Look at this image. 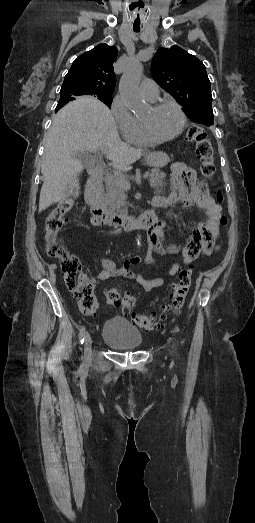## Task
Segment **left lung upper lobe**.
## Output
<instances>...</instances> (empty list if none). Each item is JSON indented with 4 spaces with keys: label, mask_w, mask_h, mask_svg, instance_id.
<instances>
[{
    "label": "left lung upper lobe",
    "mask_w": 255,
    "mask_h": 523,
    "mask_svg": "<svg viewBox=\"0 0 255 523\" xmlns=\"http://www.w3.org/2000/svg\"><path fill=\"white\" fill-rule=\"evenodd\" d=\"M151 73L153 79L184 107L193 122L213 125L210 81L198 58L177 46L159 48L152 60Z\"/></svg>",
    "instance_id": "left-lung-upper-lobe-1"
}]
</instances>
